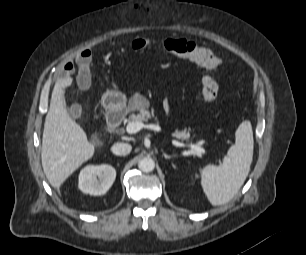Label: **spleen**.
I'll return each mask as SVG.
<instances>
[{
  "label": "spleen",
  "mask_w": 306,
  "mask_h": 255,
  "mask_svg": "<svg viewBox=\"0 0 306 255\" xmlns=\"http://www.w3.org/2000/svg\"><path fill=\"white\" fill-rule=\"evenodd\" d=\"M235 144L229 148L222 164L207 165L201 171V185L213 206L229 202L247 178L253 158V131L249 120L235 132Z\"/></svg>",
  "instance_id": "3e777b00"
}]
</instances>
